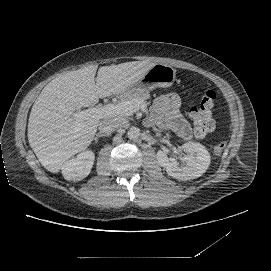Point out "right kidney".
<instances>
[{
	"instance_id": "right-kidney-1",
	"label": "right kidney",
	"mask_w": 271,
	"mask_h": 271,
	"mask_svg": "<svg viewBox=\"0 0 271 271\" xmlns=\"http://www.w3.org/2000/svg\"><path fill=\"white\" fill-rule=\"evenodd\" d=\"M94 159V153L86 150L78 154L76 158L66 161L61 168L64 179L68 181H81L90 173Z\"/></svg>"
}]
</instances>
